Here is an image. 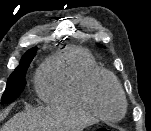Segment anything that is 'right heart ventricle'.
Segmentation results:
<instances>
[{"label":"right heart ventricle","mask_w":151,"mask_h":131,"mask_svg":"<svg viewBox=\"0 0 151 131\" xmlns=\"http://www.w3.org/2000/svg\"><path fill=\"white\" fill-rule=\"evenodd\" d=\"M99 69L87 50L68 46L42 64L36 79L37 92L48 104L97 116L89 103L86 89L90 76Z\"/></svg>","instance_id":"1"}]
</instances>
